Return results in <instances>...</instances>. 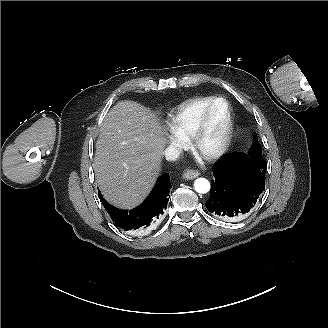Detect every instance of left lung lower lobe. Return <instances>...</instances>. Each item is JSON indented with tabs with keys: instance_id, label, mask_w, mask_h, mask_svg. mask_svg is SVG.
<instances>
[{
	"instance_id": "1",
	"label": "left lung lower lobe",
	"mask_w": 328,
	"mask_h": 328,
	"mask_svg": "<svg viewBox=\"0 0 328 328\" xmlns=\"http://www.w3.org/2000/svg\"><path fill=\"white\" fill-rule=\"evenodd\" d=\"M266 167L259 142L248 154H225L213 167L206 208L224 220L246 215L265 189Z\"/></svg>"
}]
</instances>
